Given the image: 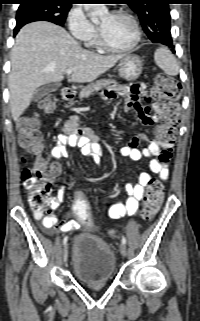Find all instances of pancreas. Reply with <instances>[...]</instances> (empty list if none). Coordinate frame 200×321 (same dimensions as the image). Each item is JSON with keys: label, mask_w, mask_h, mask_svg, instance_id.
Wrapping results in <instances>:
<instances>
[{"label": "pancreas", "mask_w": 200, "mask_h": 321, "mask_svg": "<svg viewBox=\"0 0 200 321\" xmlns=\"http://www.w3.org/2000/svg\"><path fill=\"white\" fill-rule=\"evenodd\" d=\"M110 86L112 87L117 86V82L112 79H101V80L95 81L87 85L81 90L79 94V98L80 100H83L89 97V95H91L92 93L97 92L104 87H110Z\"/></svg>", "instance_id": "1"}]
</instances>
